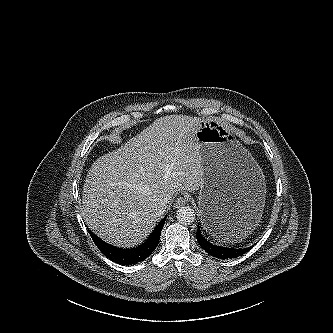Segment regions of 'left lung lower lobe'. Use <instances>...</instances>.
Masks as SVG:
<instances>
[{
  "instance_id": "1",
  "label": "left lung lower lobe",
  "mask_w": 333,
  "mask_h": 333,
  "mask_svg": "<svg viewBox=\"0 0 333 333\" xmlns=\"http://www.w3.org/2000/svg\"><path fill=\"white\" fill-rule=\"evenodd\" d=\"M212 217L213 218L209 222L208 229L213 234V236L220 241H224L222 240V237H224L223 235L226 234V232H228L231 227H239L240 225V223L236 222L235 219L225 217L217 210L212 211ZM196 238L201 248H203L211 256L220 259H231L241 256L253 247L250 246L248 248L238 249L213 244L203 236L199 226L196 232Z\"/></svg>"
}]
</instances>
